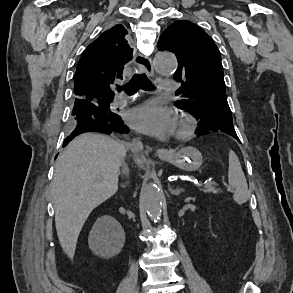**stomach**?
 Segmentation results:
<instances>
[{"mask_svg":"<svg viewBox=\"0 0 293 293\" xmlns=\"http://www.w3.org/2000/svg\"><path fill=\"white\" fill-rule=\"evenodd\" d=\"M163 159L175 167L188 172L198 170L203 162L201 152L192 146L181 148L179 151Z\"/></svg>","mask_w":293,"mask_h":293,"instance_id":"obj_1","label":"stomach"}]
</instances>
